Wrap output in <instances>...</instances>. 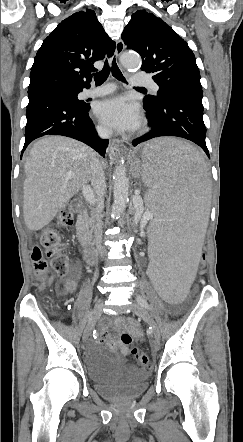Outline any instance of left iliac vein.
<instances>
[{
    "instance_id": "left-iliac-vein-1",
    "label": "left iliac vein",
    "mask_w": 243,
    "mask_h": 442,
    "mask_svg": "<svg viewBox=\"0 0 243 442\" xmlns=\"http://www.w3.org/2000/svg\"><path fill=\"white\" fill-rule=\"evenodd\" d=\"M133 312L141 318L144 322H146L151 327V333L153 337L152 346L154 349H158L160 345V330L153 319L152 315L148 312V310L141 306L139 303H134L132 305Z\"/></svg>"
}]
</instances>
